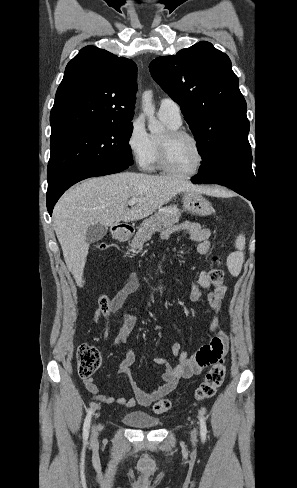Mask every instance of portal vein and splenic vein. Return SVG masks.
I'll return each instance as SVG.
<instances>
[{
	"label": "portal vein and splenic vein",
	"mask_w": 297,
	"mask_h": 488,
	"mask_svg": "<svg viewBox=\"0 0 297 488\" xmlns=\"http://www.w3.org/2000/svg\"><path fill=\"white\" fill-rule=\"evenodd\" d=\"M140 199L139 198H131L129 201H128V205L130 206H133L135 205L137 202H139ZM163 211H166L165 209H162Z\"/></svg>",
	"instance_id": "1"
}]
</instances>
